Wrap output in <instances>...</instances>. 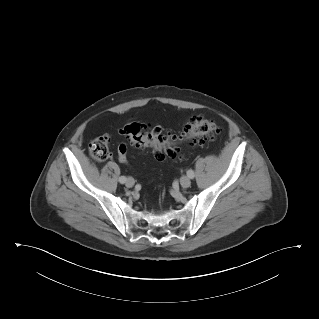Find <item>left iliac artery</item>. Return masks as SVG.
I'll use <instances>...</instances> for the list:
<instances>
[{"label": "left iliac artery", "instance_id": "1", "mask_svg": "<svg viewBox=\"0 0 319 319\" xmlns=\"http://www.w3.org/2000/svg\"><path fill=\"white\" fill-rule=\"evenodd\" d=\"M187 176H188L189 178L193 179L195 175H194V172H193L192 170H188V171H187Z\"/></svg>", "mask_w": 319, "mask_h": 319}]
</instances>
